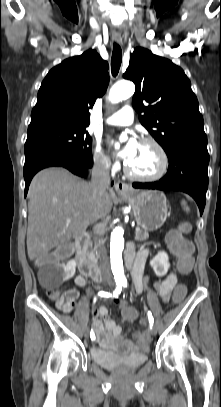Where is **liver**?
Returning a JSON list of instances; mask_svg holds the SVG:
<instances>
[{"mask_svg": "<svg viewBox=\"0 0 221 407\" xmlns=\"http://www.w3.org/2000/svg\"><path fill=\"white\" fill-rule=\"evenodd\" d=\"M28 197L27 252L34 260L108 216L115 194L106 192L96 201L90 183L64 168L52 167L34 176Z\"/></svg>", "mask_w": 221, "mask_h": 407, "instance_id": "1", "label": "liver"}]
</instances>
